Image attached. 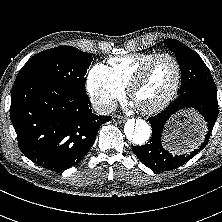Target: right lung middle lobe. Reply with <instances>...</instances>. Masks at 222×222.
Masks as SVG:
<instances>
[{
  "label": "right lung middle lobe",
  "instance_id": "obj_1",
  "mask_svg": "<svg viewBox=\"0 0 222 222\" xmlns=\"http://www.w3.org/2000/svg\"><path fill=\"white\" fill-rule=\"evenodd\" d=\"M93 58L71 46H60L31 57L15 82L44 80L85 92V74Z\"/></svg>",
  "mask_w": 222,
  "mask_h": 222
}]
</instances>
